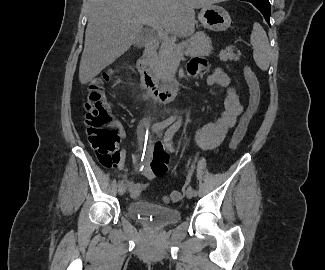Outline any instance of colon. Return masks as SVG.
<instances>
[{
	"label": "colon",
	"mask_w": 325,
	"mask_h": 270,
	"mask_svg": "<svg viewBox=\"0 0 325 270\" xmlns=\"http://www.w3.org/2000/svg\"><path fill=\"white\" fill-rule=\"evenodd\" d=\"M114 75L115 70L110 69L100 77L93 79L89 83L84 103L85 126L89 143L99 162L108 168L117 166L120 159L119 134L112 122L111 106L106 95V84ZM244 76L249 87V103L231 138V149H235L242 141L261 99L259 81L250 67L244 68ZM181 199L182 193L176 190L165 197L167 202H178Z\"/></svg>",
	"instance_id": "1"
}]
</instances>
